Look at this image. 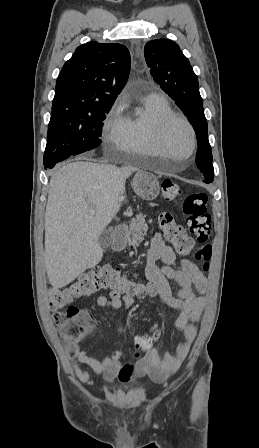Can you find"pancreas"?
I'll use <instances>...</instances> for the list:
<instances>
[{
  "label": "pancreas",
  "mask_w": 259,
  "mask_h": 448,
  "mask_svg": "<svg viewBox=\"0 0 259 448\" xmlns=\"http://www.w3.org/2000/svg\"><path fill=\"white\" fill-rule=\"evenodd\" d=\"M144 218H146V216L138 214V216H136V220H132L130 224L133 244L142 242V240H144V236H147L148 226ZM149 224H152V220H149Z\"/></svg>",
  "instance_id": "obj_1"
}]
</instances>
